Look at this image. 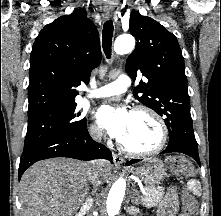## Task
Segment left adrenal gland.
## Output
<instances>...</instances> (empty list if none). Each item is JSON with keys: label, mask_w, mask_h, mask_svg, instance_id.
Returning a JSON list of instances; mask_svg holds the SVG:
<instances>
[{"label": "left adrenal gland", "mask_w": 221, "mask_h": 216, "mask_svg": "<svg viewBox=\"0 0 221 216\" xmlns=\"http://www.w3.org/2000/svg\"><path fill=\"white\" fill-rule=\"evenodd\" d=\"M130 199H131L132 204H134V205L140 204L139 194H138V191L135 190V185H133V187H132V191L130 193Z\"/></svg>", "instance_id": "a2214340"}]
</instances>
